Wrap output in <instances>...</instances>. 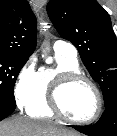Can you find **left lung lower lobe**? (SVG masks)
Returning a JSON list of instances; mask_svg holds the SVG:
<instances>
[{"instance_id":"0a47b994","label":"left lung lower lobe","mask_w":117,"mask_h":136,"mask_svg":"<svg viewBox=\"0 0 117 136\" xmlns=\"http://www.w3.org/2000/svg\"><path fill=\"white\" fill-rule=\"evenodd\" d=\"M72 127L89 136H117V99L106 107L94 125Z\"/></svg>"}]
</instances>
